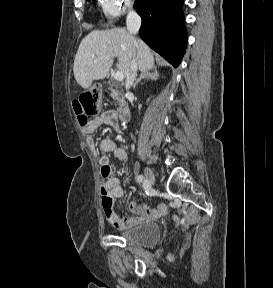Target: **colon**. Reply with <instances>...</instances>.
Instances as JSON below:
<instances>
[{
	"instance_id": "5ec220e1",
	"label": "colon",
	"mask_w": 273,
	"mask_h": 288,
	"mask_svg": "<svg viewBox=\"0 0 273 288\" xmlns=\"http://www.w3.org/2000/svg\"><path fill=\"white\" fill-rule=\"evenodd\" d=\"M73 109L82 128L89 126V117L97 115L101 109V102L96 92H85L73 101Z\"/></svg>"
}]
</instances>
